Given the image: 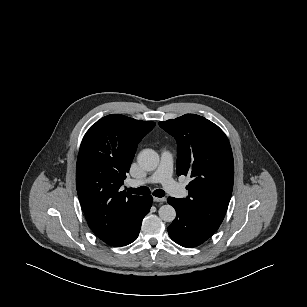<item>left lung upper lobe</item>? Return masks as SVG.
I'll list each match as a JSON object with an SVG mask.
<instances>
[{"instance_id": "left-lung-upper-lobe-1", "label": "left lung upper lobe", "mask_w": 307, "mask_h": 307, "mask_svg": "<svg viewBox=\"0 0 307 307\" xmlns=\"http://www.w3.org/2000/svg\"><path fill=\"white\" fill-rule=\"evenodd\" d=\"M177 141V175H189L188 196L178 199L188 214L216 231L223 221L234 182L228 138L214 123L196 114L161 121Z\"/></svg>"}]
</instances>
